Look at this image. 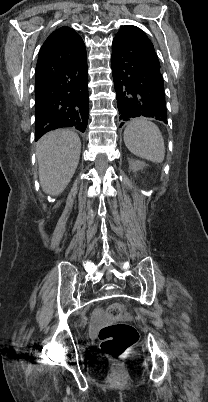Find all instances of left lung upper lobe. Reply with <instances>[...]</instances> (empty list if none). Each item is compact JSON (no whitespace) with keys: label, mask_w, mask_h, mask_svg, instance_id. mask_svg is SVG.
I'll return each instance as SVG.
<instances>
[{"label":"left lung upper lobe","mask_w":208,"mask_h":402,"mask_svg":"<svg viewBox=\"0 0 208 402\" xmlns=\"http://www.w3.org/2000/svg\"><path fill=\"white\" fill-rule=\"evenodd\" d=\"M149 46V59H150V64L157 70L160 72V64L158 61V57L155 53L153 44L151 43V41H149L148 43Z\"/></svg>","instance_id":"obj_1"}]
</instances>
